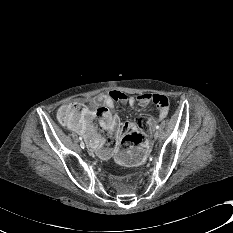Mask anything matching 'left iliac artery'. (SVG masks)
Returning <instances> with one entry per match:
<instances>
[{"instance_id":"left-iliac-artery-1","label":"left iliac artery","mask_w":233,"mask_h":233,"mask_svg":"<svg viewBox=\"0 0 233 233\" xmlns=\"http://www.w3.org/2000/svg\"><path fill=\"white\" fill-rule=\"evenodd\" d=\"M155 128H156V129H159V128H160V125L157 124V125L155 126Z\"/></svg>"}]
</instances>
